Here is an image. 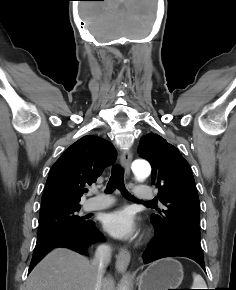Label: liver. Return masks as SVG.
Wrapping results in <instances>:
<instances>
[{
  "mask_svg": "<svg viewBox=\"0 0 236 290\" xmlns=\"http://www.w3.org/2000/svg\"><path fill=\"white\" fill-rule=\"evenodd\" d=\"M97 268L74 251L56 248L30 273L25 290H95ZM101 290H115L111 276L102 279Z\"/></svg>",
  "mask_w": 236,
  "mask_h": 290,
  "instance_id": "obj_1",
  "label": "liver"
}]
</instances>
